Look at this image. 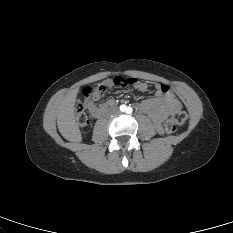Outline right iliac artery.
I'll use <instances>...</instances> for the list:
<instances>
[{"mask_svg": "<svg viewBox=\"0 0 233 233\" xmlns=\"http://www.w3.org/2000/svg\"><path fill=\"white\" fill-rule=\"evenodd\" d=\"M125 108H126V106L122 105V106L120 107V110H121V111H124Z\"/></svg>", "mask_w": 233, "mask_h": 233, "instance_id": "right-iliac-artery-1", "label": "right iliac artery"}]
</instances>
